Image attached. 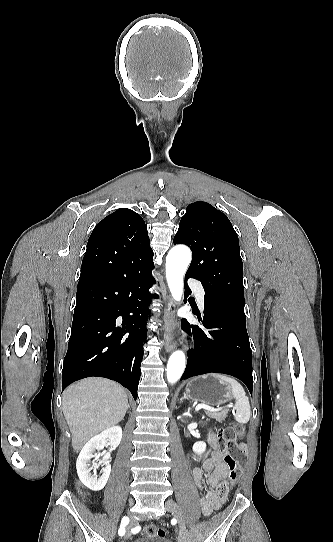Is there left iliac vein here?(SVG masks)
Wrapping results in <instances>:
<instances>
[{
  "instance_id": "left-iliac-vein-1",
  "label": "left iliac vein",
  "mask_w": 333,
  "mask_h": 542,
  "mask_svg": "<svg viewBox=\"0 0 333 542\" xmlns=\"http://www.w3.org/2000/svg\"><path fill=\"white\" fill-rule=\"evenodd\" d=\"M165 507L179 521L180 535L178 542H191L178 504L173 500H167Z\"/></svg>"
}]
</instances>
